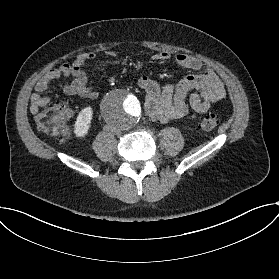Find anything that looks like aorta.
<instances>
[{
  "label": "aorta",
  "mask_w": 279,
  "mask_h": 279,
  "mask_svg": "<svg viewBox=\"0 0 279 279\" xmlns=\"http://www.w3.org/2000/svg\"><path fill=\"white\" fill-rule=\"evenodd\" d=\"M101 110L110 128L118 132L135 126L142 115L139 98L127 89H115L108 93Z\"/></svg>",
  "instance_id": "762f6f07"
}]
</instances>
